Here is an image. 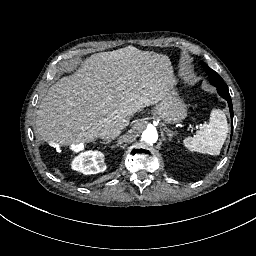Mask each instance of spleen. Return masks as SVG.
<instances>
[{"instance_id":"3e777b00","label":"spleen","mask_w":256,"mask_h":256,"mask_svg":"<svg viewBox=\"0 0 256 256\" xmlns=\"http://www.w3.org/2000/svg\"><path fill=\"white\" fill-rule=\"evenodd\" d=\"M228 131L225 114L221 110L213 109L209 124L197 131L193 137L185 138L183 144L191 152L219 155Z\"/></svg>"}]
</instances>
